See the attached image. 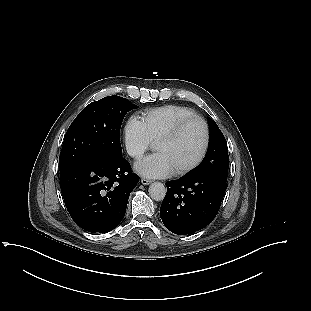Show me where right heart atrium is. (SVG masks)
<instances>
[{
	"instance_id": "right-heart-atrium-1",
	"label": "right heart atrium",
	"mask_w": 311,
	"mask_h": 311,
	"mask_svg": "<svg viewBox=\"0 0 311 311\" xmlns=\"http://www.w3.org/2000/svg\"><path fill=\"white\" fill-rule=\"evenodd\" d=\"M124 141L127 153L135 160L140 159L152 146V141L142 120L130 117L124 126Z\"/></svg>"
}]
</instances>
